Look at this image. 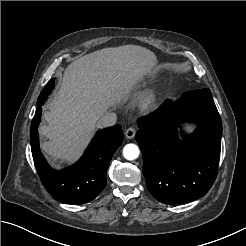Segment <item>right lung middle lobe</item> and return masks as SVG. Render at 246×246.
I'll return each instance as SVG.
<instances>
[{"label":"right lung middle lobe","mask_w":246,"mask_h":246,"mask_svg":"<svg viewBox=\"0 0 246 246\" xmlns=\"http://www.w3.org/2000/svg\"><path fill=\"white\" fill-rule=\"evenodd\" d=\"M54 87V78H52L47 85L45 86V88L42 90L41 94L38 97L37 100V106L38 105H43L44 101L46 100V98L48 97V95H50L52 89Z\"/></svg>","instance_id":"obj_1"}]
</instances>
